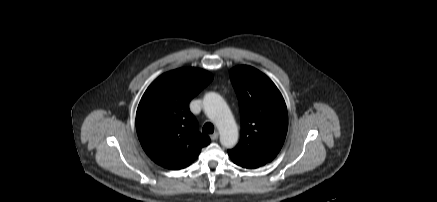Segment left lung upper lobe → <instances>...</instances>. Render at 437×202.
<instances>
[{"mask_svg":"<svg viewBox=\"0 0 437 202\" xmlns=\"http://www.w3.org/2000/svg\"><path fill=\"white\" fill-rule=\"evenodd\" d=\"M241 116V138L228 150L230 158L250 168L272 161L283 146L288 128L285 101L275 84L251 66L230 71Z\"/></svg>","mask_w":437,"mask_h":202,"instance_id":"1","label":"left lung upper lobe"}]
</instances>
